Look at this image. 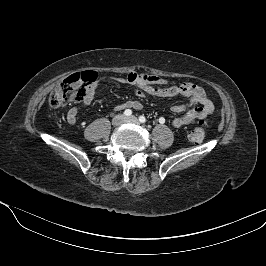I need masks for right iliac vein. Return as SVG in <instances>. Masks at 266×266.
Wrapping results in <instances>:
<instances>
[{
	"instance_id": "right-iliac-vein-1",
	"label": "right iliac vein",
	"mask_w": 266,
	"mask_h": 266,
	"mask_svg": "<svg viewBox=\"0 0 266 266\" xmlns=\"http://www.w3.org/2000/svg\"><path fill=\"white\" fill-rule=\"evenodd\" d=\"M126 121V118L124 115L122 114H118L116 115L113 120H112V125L113 126H119L120 124H122L123 122Z\"/></svg>"
}]
</instances>
